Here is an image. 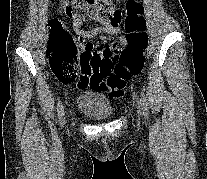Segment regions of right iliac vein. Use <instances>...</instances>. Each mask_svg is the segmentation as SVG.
Masks as SVG:
<instances>
[{
    "instance_id": "right-iliac-vein-1",
    "label": "right iliac vein",
    "mask_w": 207,
    "mask_h": 179,
    "mask_svg": "<svg viewBox=\"0 0 207 179\" xmlns=\"http://www.w3.org/2000/svg\"><path fill=\"white\" fill-rule=\"evenodd\" d=\"M65 120V116H63V121Z\"/></svg>"
}]
</instances>
